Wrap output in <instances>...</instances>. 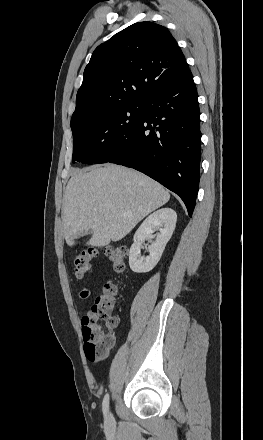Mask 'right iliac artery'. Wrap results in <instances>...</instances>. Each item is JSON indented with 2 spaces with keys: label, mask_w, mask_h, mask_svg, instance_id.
I'll return each mask as SVG.
<instances>
[{
  "label": "right iliac artery",
  "mask_w": 263,
  "mask_h": 440,
  "mask_svg": "<svg viewBox=\"0 0 263 440\" xmlns=\"http://www.w3.org/2000/svg\"><path fill=\"white\" fill-rule=\"evenodd\" d=\"M102 408H103V413L106 416L108 413V408H109V394L108 393L104 396Z\"/></svg>",
  "instance_id": "obj_1"
}]
</instances>
